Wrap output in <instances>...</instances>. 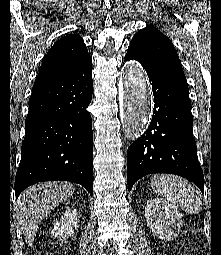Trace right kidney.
<instances>
[{"instance_id":"ca27d5eb","label":"right kidney","mask_w":221,"mask_h":255,"mask_svg":"<svg viewBox=\"0 0 221 255\" xmlns=\"http://www.w3.org/2000/svg\"><path fill=\"white\" fill-rule=\"evenodd\" d=\"M77 221V210L75 208L66 210L61 219L54 224L52 236L56 238L73 236L74 229L78 227Z\"/></svg>"}]
</instances>
